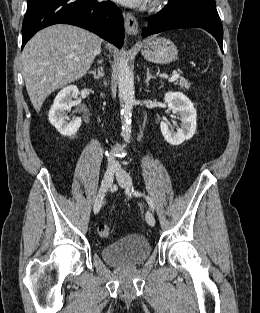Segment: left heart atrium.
<instances>
[{"instance_id": "1", "label": "left heart atrium", "mask_w": 260, "mask_h": 313, "mask_svg": "<svg viewBox=\"0 0 260 313\" xmlns=\"http://www.w3.org/2000/svg\"><path fill=\"white\" fill-rule=\"evenodd\" d=\"M117 1L125 6L138 7V6L143 5L148 0H117Z\"/></svg>"}]
</instances>
